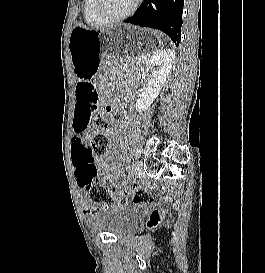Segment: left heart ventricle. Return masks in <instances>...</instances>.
I'll return each mask as SVG.
<instances>
[{
	"mask_svg": "<svg viewBox=\"0 0 265 273\" xmlns=\"http://www.w3.org/2000/svg\"><path fill=\"white\" fill-rule=\"evenodd\" d=\"M135 0H105L104 9L109 15H119L131 8Z\"/></svg>",
	"mask_w": 265,
	"mask_h": 273,
	"instance_id": "left-heart-ventricle-1",
	"label": "left heart ventricle"
}]
</instances>
